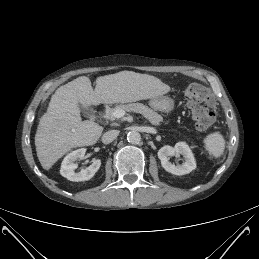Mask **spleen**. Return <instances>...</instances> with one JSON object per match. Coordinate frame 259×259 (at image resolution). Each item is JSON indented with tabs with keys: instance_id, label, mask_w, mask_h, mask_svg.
Segmentation results:
<instances>
[{
	"instance_id": "spleen-1",
	"label": "spleen",
	"mask_w": 259,
	"mask_h": 259,
	"mask_svg": "<svg viewBox=\"0 0 259 259\" xmlns=\"http://www.w3.org/2000/svg\"><path fill=\"white\" fill-rule=\"evenodd\" d=\"M204 146L211 156L218 158L224 152L225 139L220 132H214L206 136Z\"/></svg>"
}]
</instances>
